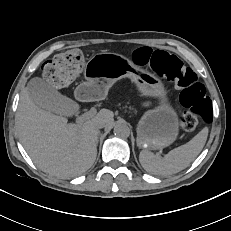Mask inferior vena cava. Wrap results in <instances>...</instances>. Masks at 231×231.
<instances>
[{
	"label": "inferior vena cava",
	"instance_id": "inferior-vena-cava-1",
	"mask_svg": "<svg viewBox=\"0 0 231 231\" xmlns=\"http://www.w3.org/2000/svg\"><path fill=\"white\" fill-rule=\"evenodd\" d=\"M103 127H104L103 123L98 124V128H103Z\"/></svg>",
	"mask_w": 231,
	"mask_h": 231
}]
</instances>
